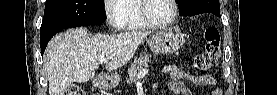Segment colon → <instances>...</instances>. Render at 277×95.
Wrapping results in <instances>:
<instances>
[{"label": "colon", "mask_w": 277, "mask_h": 95, "mask_svg": "<svg viewBox=\"0 0 277 95\" xmlns=\"http://www.w3.org/2000/svg\"><path fill=\"white\" fill-rule=\"evenodd\" d=\"M205 48L195 58V68L201 72H209L214 68L221 56V35L217 28H207L204 33ZM68 95H86V91L77 86L67 88Z\"/></svg>", "instance_id": "colon-1"}]
</instances>
